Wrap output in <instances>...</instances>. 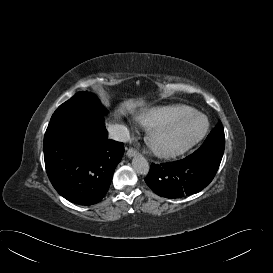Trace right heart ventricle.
I'll use <instances>...</instances> for the list:
<instances>
[{"label":"right heart ventricle","instance_id":"e07e8e85","mask_svg":"<svg viewBox=\"0 0 273 273\" xmlns=\"http://www.w3.org/2000/svg\"><path fill=\"white\" fill-rule=\"evenodd\" d=\"M191 112H193L191 107L176 104L155 108L148 114L141 116L139 120L145 127L165 126L175 123Z\"/></svg>","mask_w":273,"mask_h":273}]
</instances>
